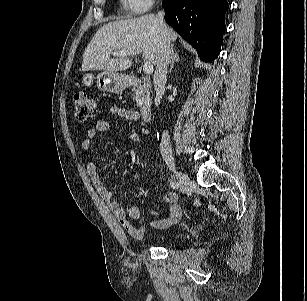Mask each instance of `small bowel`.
I'll list each match as a JSON object with an SVG mask.
<instances>
[{"label":"small bowel","instance_id":"1","mask_svg":"<svg viewBox=\"0 0 307 301\" xmlns=\"http://www.w3.org/2000/svg\"><path fill=\"white\" fill-rule=\"evenodd\" d=\"M111 114L117 118L130 120L132 122H139L140 115L137 111L126 109L119 106L111 107ZM110 123L106 120H98L93 128L87 131L86 138L82 140L81 147L84 151H90L92 149L93 141L97 138L98 134L106 133L110 130ZM131 139L137 141V135L133 134ZM86 172L90 177L92 184L97 189L99 195L103 201L107 204L110 212L118 221L120 226L125 232H127L134 239H142L145 234L144 228H137L134 226V222L138 220L140 211L137 206H129L126 210L119 205L114 199L111 191L104 183L100 174L97 171L96 165L93 161L88 160L86 163ZM164 203L169 205L166 213H161L154 208H149V212L152 215L159 217L150 223L153 228H165L176 223L182 215L181 209L176 205L177 194L175 192H169L163 197Z\"/></svg>","mask_w":307,"mask_h":301}]
</instances>
